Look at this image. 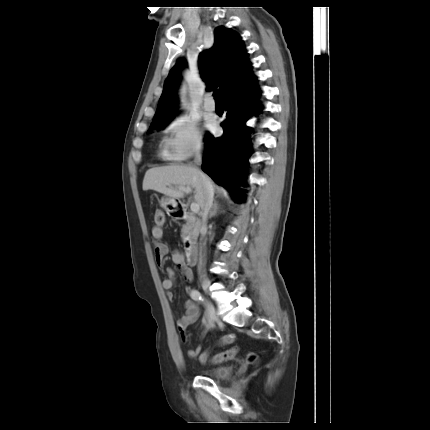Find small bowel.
<instances>
[{"instance_id":"small-bowel-1","label":"small bowel","mask_w":430,"mask_h":430,"mask_svg":"<svg viewBox=\"0 0 430 430\" xmlns=\"http://www.w3.org/2000/svg\"><path fill=\"white\" fill-rule=\"evenodd\" d=\"M152 238L154 240V250H155V261L156 264L161 267L164 263L165 256L169 253V247L167 244L162 242L163 230L160 226H154L151 230ZM171 260L181 271L183 277L187 281L193 280V272L189 269L184 262V256L179 250H174L171 253ZM167 278L162 281V287L167 293L169 299L173 298L172 289L175 283L176 271L173 268H167ZM185 314L182 315L177 321V327L181 334L183 340H187L186 330L187 328L194 324L200 315L199 305L193 300H187L184 303ZM210 329V324L207 319L204 320L202 325L201 337H204ZM202 346L198 345L195 349L188 351V357L194 359L201 355Z\"/></svg>"}]
</instances>
